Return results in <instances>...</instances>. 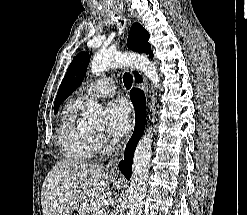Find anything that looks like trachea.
Listing matches in <instances>:
<instances>
[{
    "instance_id": "1",
    "label": "trachea",
    "mask_w": 247,
    "mask_h": 215,
    "mask_svg": "<svg viewBox=\"0 0 247 215\" xmlns=\"http://www.w3.org/2000/svg\"><path fill=\"white\" fill-rule=\"evenodd\" d=\"M122 25H123V21H122ZM123 82L124 85L127 89H130L132 86V82H133V76L130 73H124L123 75Z\"/></svg>"
}]
</instances>
